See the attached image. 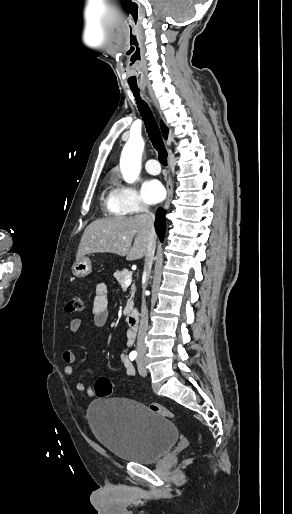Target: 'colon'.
<instances>
[{
	"label": "colon",
	"instance_id": "obj_1",
	"mask_svg": "<svg viewBox=\"0 0 292 514\" xmlns=\"http://www.w3.org/2000/svg\"><path fill=\"white\" fill-rule=\"evenodd\" d=\"M84 304L81 296H75L70 299L65 306L67 313L81 312ZM94 391L99 398L106 399L111 396L112 380L107 376H99L95 381ZM149 410L161 417L174 418L175 413L164 405L157 403H149Z\"/></svg>",
	"mask_w": 292,
	"mask_h": 514
}]
</instances>
